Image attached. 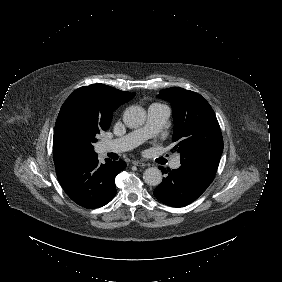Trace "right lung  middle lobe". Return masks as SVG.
Here are the masks:
<instances>
[{
  "label": "right lung middle lobe",
  "instance_id": "dd1d6c3e",
  "mask_svg": "<svg viewBox=\"0 0 282 282\" xmlns=\"http://www.w3.org/2000/svg\"><path fill=\"white\" fill-rule=\"evenodd\" d=\"M107 129L97 120L85 116L72 120L64 128L63 136L81 156H89L95 154L93 143L97 141L96 135Z\"/></svg>",
  "mask_w": 282,
  "mask_h": 282
}]
</instances>
